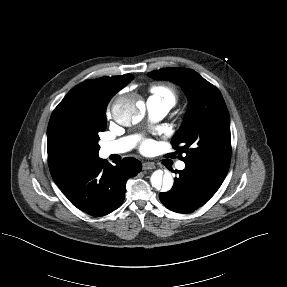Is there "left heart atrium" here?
Instances as JSON below:
<instances>
[{"label":"left heart atrium","mask_w":287,"mask_h":287,"mask_svg":"<svg viewBox=\"0 0 287 287\" xmlns=\"http://www.w3.org/2000/svg\"><path fill=\"white\" fill-rule=\"evenodd\" d=\"M150 147H151V142L146 141V142H144L143 145H142V150H143V151H147Z\"/></svg>","instance_id":"1"}]
</instances>
